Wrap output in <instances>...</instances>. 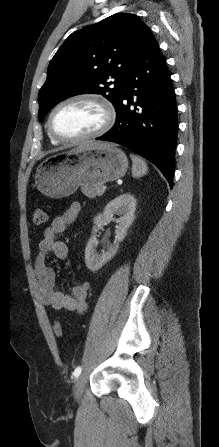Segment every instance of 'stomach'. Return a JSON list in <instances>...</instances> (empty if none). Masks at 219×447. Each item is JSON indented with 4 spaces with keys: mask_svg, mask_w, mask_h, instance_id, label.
<instances>
[{
    "mask_svg": "<svg viewBox=\"0 0 219 447\" xmlns=\"http://www.w3.org/2000/svg\"><path fill=\"white\" fill-rule=\"evenodd\" d=\"M127 168L128 159L122 150L90 143L45 159L36 170L35 183L45 196L62 198L73 194L79 186L117 180Z\"/></svg>",
    "mask_w": 219,
    "mask_h": 447,
    "instance_id": "1",
    "label": "stomach"
}]
</instances>
